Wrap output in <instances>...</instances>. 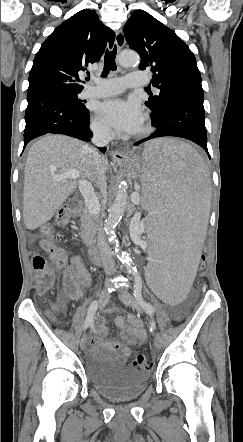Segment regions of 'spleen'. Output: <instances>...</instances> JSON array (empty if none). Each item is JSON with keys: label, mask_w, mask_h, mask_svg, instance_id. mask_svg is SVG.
I'll return each instance as SVG.
<instances>
[{"label": "spleen", "mask_w": 243, "mask_h": 442, "mask_svg": "<svg viewBox=\"0 0 243 442\" xmlns=\"http://www.w3.org/2000/svg\"><path fill=\"white\" fill-rule=\"evenodd\" d=\"M139 160L136 176L149 240L147 291L164 307H183L207 230L208 172L194 148L174 139L147 143Z\"/></svg>", "instance_id": "obj_1"}]
</instances>
